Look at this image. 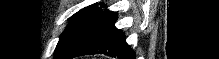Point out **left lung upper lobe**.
Listing matches in <instances>:
<instances>
[{
    "mask_svg": "<svg viewBox=\"0 0 219 59\" xmlns=\"http://www.w3.org/2000/svg\"><path fill=\"white\" fill-rule=\"evenodd\" d=\"M103 13L98 4H93L74 14L61 34L54 59H66L91 34Z\"/></svg>",
    "mask_w": 219,
    "mask_h": 59,
    "instance_id": "obj_1",
    "label": "left lung upper lobe"
}]
</instances>
